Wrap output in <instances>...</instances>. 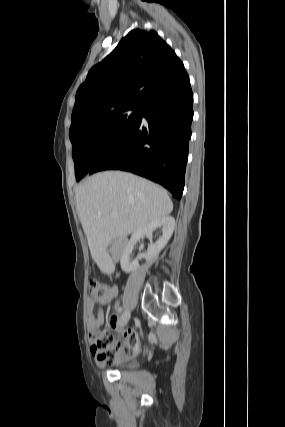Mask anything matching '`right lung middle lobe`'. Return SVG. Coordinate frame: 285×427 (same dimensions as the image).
Here are the masks:
<instances>
[{
  "label": "right lung middle lobe",
  "instance_id": "obj_1",
  "mask_svg": "<svg viewBox=\"0 0 285 427\" xmlns=\"http://www.w3.org/2000/svg\"><path fill=\"white\" fill-rule=\"evenodd\" d=\"M140 110L141 105L126 106L69 134L77 181L122 143L136 124Z\"/></svg>",
  "mask_w": 285,
  "mask_h": 427
}]
</instances>
